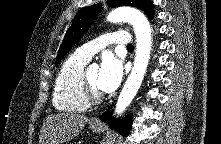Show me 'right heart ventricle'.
<instances>
[{"label":"right heart ventricle","instance_id":"right-heart-ventricle-1","mask_svg":"<svg viewBox=\"0 0 221 144\" xmlns=\"http://www.w3.org/2000/svg\"><path fill=\"white\" fill-rule=\"evenodd\" d=\"M87 62L74 53L60 66L52 95V102L57 110L76 113L89 108L90 103L84 98L81 87V75Z\"/></svg>","mask_w":221,"mask_h":144}]
</instances>
